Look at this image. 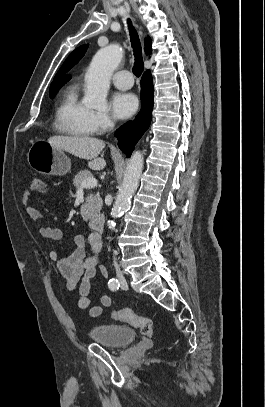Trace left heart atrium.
I'll list each match as a JSON object with an SVG mask.
<instances>
[{
    "instance_id": "1",
    "label": "left heart atrium",
    "mask_w": 265,
    "mask_h": 407,
    "mask_svg": "<svg viewBox=\"0 0 265 407\" xmlns=\"http://www.w3.org/2000/svg\"><path fill=\"white\" fill-rule=\"evenodd\" d=\"M111 106L118 118L125 119L136 112L138 99L132 93L118 92L113 95Z\"/></svg>"
}]
</instances>
